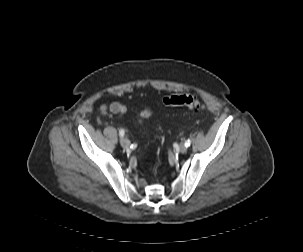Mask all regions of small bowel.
Wrapping results in <instances>:
<instances>
[{
    "mask_svg": "<svg viewBox=\"0 0 303 252\" xmlns=\"http://www.w3.org/2000/svg\"><path fill=\"white\" fill-rule=\"evenodd\" d=\"M126 111H127L126 105L120 102H110L102 106L103 113H112L121 116L125 114Z\"/></svg>",
    "mask_w": 303,
    "mask_h": 252,
    "instance_id": "small-bowel-1",
    "label": "small bowel"
}]
</instances>
